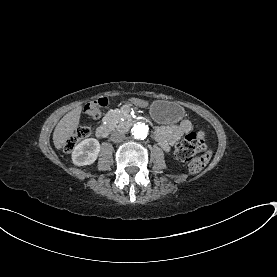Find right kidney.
Here are the masks:
<instances>
[{
	"mask_svg": "<svg viewBox=\"0 0 277 277\" xmlns=\"http://www.w3.org/2000/svg\"><path fill=\"white\" fill-rule=\"evenodd\" d=\"M100 143L94 138H88L75 146L71 159L76 166H87L96 162L100 153Z\"/></svg>",
	"mask_w": 277,
	"mask_h": 277,
	"instance_id": "right-kidney-1",
	"label": "right kidney"
}]
</instances>
